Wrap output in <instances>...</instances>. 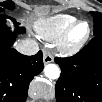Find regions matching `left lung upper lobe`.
<instances>
[{
  "label": "left lung upper lobe",
  "mask_w": 102,
  "mask_h": 102,
  "mask_svg": "<svg viewBox=\"0 0 102 102\" xmlns=\"http://www.w3.org/2000/svg\"><path fill=\"white\" fill-rule=\"evenodd\" d=\"M94 20V35H102V14L99 12H91Z\"/></svg>",
  "instance_id": "1"
}]
</instances>
